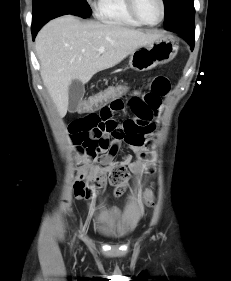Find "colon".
I'll list each match as a JSON object with an SVG mask.
<instances>
[{"label": "colon", "instance_id": "colon-1", "mask_svg": "<svg viewBox=\"0 0 231 281\" xmlns=\"http://www.w3.org/2000/svg\"><path fill=\"white\" fill-rule=\"evenodd\" d=\"M132 90L130 84H115L105 90L91 96L80 105L82 112H94L108 105L114 100L126 96ZM106 181L113 187L116 195H121L129 183V174L124 166H116L106 173H100L94 179L85 185L83 182H76L75 195L77 197H90L96 188L101 187ZM148 203L152 204V198L149 197Z\"/></svg>", "mask_w": 231, "mask_h": 281}]
</instances>
